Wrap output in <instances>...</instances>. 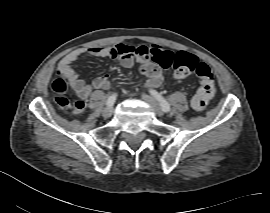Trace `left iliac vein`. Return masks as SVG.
I'll return each mask as SVG.
<instances>
[{
  "label": "left iliac vein",
  "mask_w": 270,
  "mask_h": 213,
  "mask_svg": "<svg viewBox=\"0 0 270 213\" xmlns=\"http://www.w3.org/2000/svg\"><path fill=\"white\" fill-rule=\"evenodd\" d=\"M142 98L146 100L154 109L155 113L159 116L162 117L164 115V111L162 110V107L160 104L151 96L143 94Z\"/></svg>",
  "instance_id": "left-iliac-vein-1"
}]
</instances>
